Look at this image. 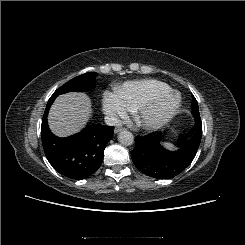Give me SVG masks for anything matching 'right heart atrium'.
<instances>
[{
  "instance_id": "right-heart-atrium-1",
  "label": "right heart atrium",
  "mask_w": 245,
  "mask_h": 245,
  "mask_svg": "<svg viewBox=\"0 0 245 245\" xmlns=\"http://www.w3.org/2000/svg\"><path fill=\"white\" fill-rule=\"evenodd\" d=\"M102 107L104 113L114 122L119 118H125L128 115V111H130L128 106L115 91H105L103 93Z\"/></svg>"
}]
</instances>
